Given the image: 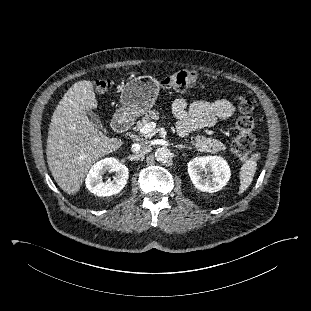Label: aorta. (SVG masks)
I'll return each mask as SVG.
<instances>
[{
  "label": "aorta",
  "instance_id": "obj_1",
  "mask_svg": "<svg viewBox=\"0 0 311 311\" xmlns=\"http://www.w3.org/2000/svg\"><path fill=\"white\" fill-rule=\"evenodd\" d=\"M171 156V152L167 147H159L155 152V158L159 162H166Z\"/></svg>",
  "mask_w": 311,
  "mask_h": 311
}]
</instances>
